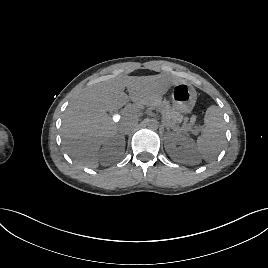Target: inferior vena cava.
Here are the masks:
<instances>
[{"instance_id": "inferior-vena-cava-1", "label": "inferior vena cava", "mask_w": 268, "mask_h": 268, "mask_svg": "<svg viewBox=\"0 0 268 268\" xmlns=\"http://www.w3.org/2000/svg\"><path fill=\"white\" fill-rule=\"evenodd\" d=\"M137 123H138L137 117L135 116L126 117L119 123L118 130L123 134H128L130 131L133 130V128L137 125Z\"/></svg>"}]
</instances>
